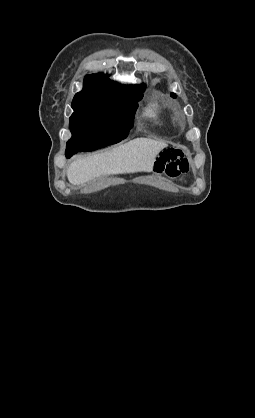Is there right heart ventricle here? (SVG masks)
<instances>
[{
	"instance_id": "e07e8e85",
	"label": "right heart ventricle",
	"mask_w": 255,
	"mask_h": 418,
	"mask_svg": "<svg viewBox=\"0 0 255 418\" xmlns=\"http://www.w3.org/2000/svg\"><path fill=\"white\" fill-rule=\"evenodd\" d=\"M143 115L148 120L156 122V123H161L163 121V112L160 106L155 102H150L144 108Z\"/></svg>"
}]
</instances>
